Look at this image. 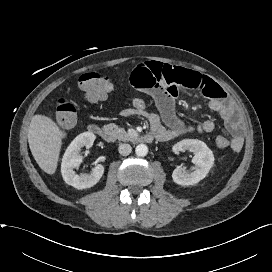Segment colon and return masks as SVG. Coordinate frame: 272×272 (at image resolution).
I'll return each instance as SVG.
<instances>
[{
    "instance_id": "1",
    "label": "colon",
    "mask_w": 272,
    "mask_h": 272,
    "mask_svg": "<svg viewBox=\"0 0 272 272\" xmlns=\"http://www.w3.org/2000/svg\"><path fill=\"white\" fill-rule=\"evenodd\" d=\"M79 87L82 90L84 97L88 101L94 102L105 99L112 91L113 84L109 75L91 71L80 76ZM146 105L145 100L141 98H135L132 101V106L139 110L145 109ZM52 118L62 130L72 128L77 122L75 106L67 98L59 99L52 112ZM216 145L220 149H225L230 146V141L224 136H219L216 139Z\"/></svg>"
}]
</instances>
